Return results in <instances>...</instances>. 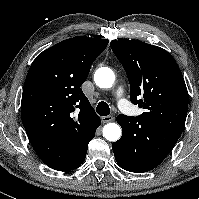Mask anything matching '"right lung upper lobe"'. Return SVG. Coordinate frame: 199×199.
<instances>
[{"label":"right lung upper lobe","instance_id":"obj_1","mask_svg":"<svg viewBox=\"0 0 199 199\" xmlns=\"http://www.w3.org/2000/svg\"><path fill=\"white\" fill-rule=\"evenodd\" d=\"M108 42L70 38L43 51L31 64L21 117L38 156L64 157L66 143L90 133L101 121L80 87Z\"/></svg>","mask_w":199,"mask_h":199}]
</instances>
